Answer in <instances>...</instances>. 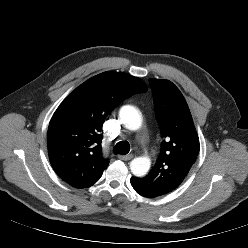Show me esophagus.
Segmentation results:
<instances>
[{"label": "esophagus", "instance_id": "obj_1", "mask_svg": "<svg viewBox=\"0 0 248 248\" xmlns=\"http://www.w3.org/2000/svg\"><path fill=\"white\" fill-rule=\"evenodd\" d=\"M133 154H129V155H119L118 158L124 161H128L131 160L133 158Z\"/></svg>", "mask_w": 248, "mask_h": 248}]
</instances>
